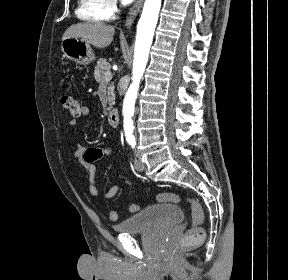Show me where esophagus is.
I'll use <instances>...</instances> for the list:
<instances>
[{
  "instance_id": "34e87169",
  "label": "esophagus",
  "mask_w": 288,
  "mask_h": 280,
  "mask_svg": "<svg viewBox=\"0 0 288 280\" xmlns=\"http://www.w3.org/2000/svg\"><path fill=\"white\" fill-rule=\"evenodd\" d=\"M144 0H136L135 4L133 5V7L130 9L126 20H125V26L126 28H130L132 26V24L134 23L141 7L143 4Z\"/></svg>"
}]
</instances>
